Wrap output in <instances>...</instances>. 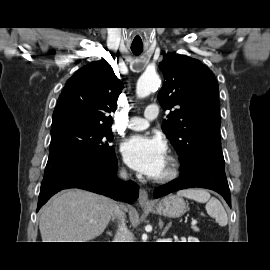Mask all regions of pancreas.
Instances as JSON below:
<instances>
[{"instance_id": "1", "label": "pancreas", "mask_w": 270, "mask_h": 270, "mask_svg": "<svg viewBox=\"0 0 270 270\" xmlns=\"http://www.w3.org/2000/svg\"><path fill=\"white\" fill-rule=\"evenodd\" d=\"M192 229H193L194 231H196V232H198V231H199V228H198V227H196V226H193V227H192Z\"/></svg>"}]
</instances>
